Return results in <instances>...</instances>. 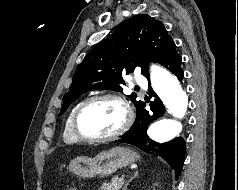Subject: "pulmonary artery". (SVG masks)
<instances>
[{
	"mask_svg": "<svg viewBox=\"0 0 238 190\" xmlns=\"http://www.w3.org/2000/svg\"><path fill=\"white\" fill-rule=\"evenodd\" d=\"M135 83L138 85V86H142V87H145L146 86V80L144 77H142L141 75H136L135 76Z\"/></svg>",
	"mask_w": 238,
	"mask_h": 190,
	"instance_id": "e3ab8cb5",
	"label": "pulmonary artery"
}]
</instances>
